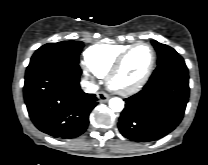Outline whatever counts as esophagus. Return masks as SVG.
Wrapping results in <instances>:
<instances>
[{
  "mask_svg": "<svg viewBox=\"0 0 208 165\" xmlns=\"http://www.w3.org/2000/svg\"><path fill=\"white\" fill-rule=\"evenodd\" d=\"M97 97L101 103L107 102L109 100V95L104 92L97 93Z\"/></svg>",
  "mask_w": 208,
  "mask_h": 165,
  "instance_id": "34e87169",
  "label": "esophagus"
}]
</instances>
